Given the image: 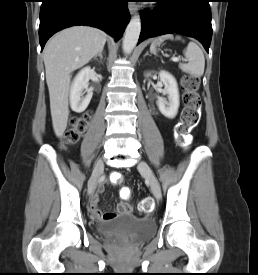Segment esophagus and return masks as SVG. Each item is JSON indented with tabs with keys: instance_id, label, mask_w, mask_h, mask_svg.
<instances>
[{
	"instance_id": "esophagus-1",
	"label": "esophagus",
	"mask_w": 258,
	"mask_h": 275,
	"mask_svg": "<svg viewBox=\"0 0 258 275\" xmlns=\"http://www.w3.org/2000/svg\"><path fill=\"white\" fill-rule=\"evenodd\" d=\"M128 9H129V11H130L131 14H135L137 12V10H138V7H137V5L135 3H131L130 2L128 4Z\"/></svg>"
}]
</instances>
